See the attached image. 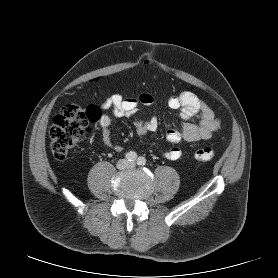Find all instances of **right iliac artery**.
<instances>
[{
    "label": "right iliac artery",
    "instance_id": "1",
    "mask_svg": "<svg viewBox=\"0 0 278 278\" xmlns=\"http://www.w3.org/2000/svg\"><path fill=\"white\" fill-rule=\"evenodd\" d=\"M125 158L129 161V162H134L137 158V154L135 152H128L126 155H125Z\"/></svg>",
    "mask_w": 278,
    "mask_h": 278
}]
</instances>
